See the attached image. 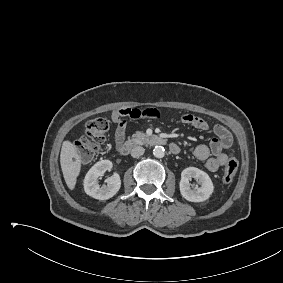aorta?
Here are the masks:
<instances>
[{
	"instance_id": "1",
	"label": "aorta",
	"mask_w": 283,
	"mask_h": 283,
	"mask_svg": "<svg viewBox=\"0 0 283 283\" xmlns=\"http://www.w3.org/2000/svg\"><path fill=\"white\" fill-rule=\"evenodd\" d=\"M165 154V149L162 146H155L153 149V155L156 158H163Z\"/></svg>"
}]
</instances>
